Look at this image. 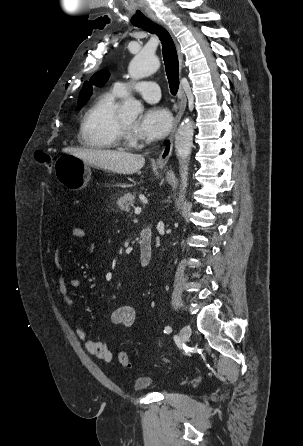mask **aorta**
Segmentation results:
<instances>
[{
    "label": "aorta",
    "instance_id": "obj_1",
    "mask_svg": "<svg viewBox=\"0 0 303 446\" xmlns=\"http://www.w3.org/2000/svg\"><path fill=\"white\" fill-rule=\"evenodd\" d=\"M159 60L154 54L141 51L129 64L128 73L133 80H138L155 73ZM142 111V105L134 98H128L120 109V115L127 119H136ZM194 126L190 120L183 121L175 135V150L181 169V192L185 193L188 181V163L193 146ZM183 196H181L182 198Z\"/></svg>",
    "mask_w": 303,
    "mask_h": 446
}]
</instances>
